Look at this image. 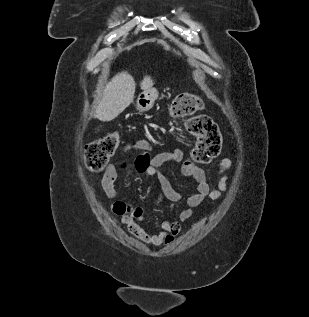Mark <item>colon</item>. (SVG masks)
Wrapping results in <instances>:
<instances>
[{
	"mask_svg": "<svg viewBox=\"0 0 309 317\" xmlns=\"http://www.w3.org/2000/svg\"><path fill=\"white\" fill-rule=\"evenodd\" d=\"M203 107L202 100L195 94L177 95L170 105V113L176 118H187L186 127L196 137L190 160L196 164H208L220 152L222 136L217 124L206 115H195ZM119 145V135L111 132L90 142L85 147V166L92 172L102 171Z\"/></svg>",
	"mask_w": 309,
	"mask_h": 317,
	"instance_id": "1",
	"label": "colon"
}]
</instances>
